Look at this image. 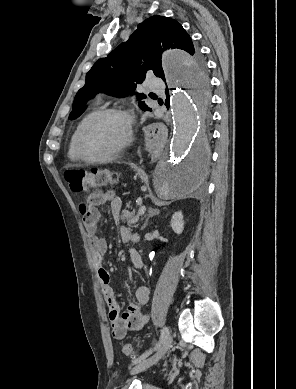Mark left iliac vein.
I'll return each instance as SVG.
<instances>
[{"instance_id":"1","label":"left iliac vein","mask_w":296,"mask_h":389,"mask_svg":"<svg viewBox=\"0 0 296 389\" xmlns=\"http://www.w3.org/2000/svg\"><path fill=\"white\" fill-rule=\"evenodd\" d=\"M172 342L173 338L170 334H168L166 338L158 345L155 354H153L149 358H144L140 360L131 370V374H137L157 363L169 350L172 345Z\"/></svg>"}]
</instances>
